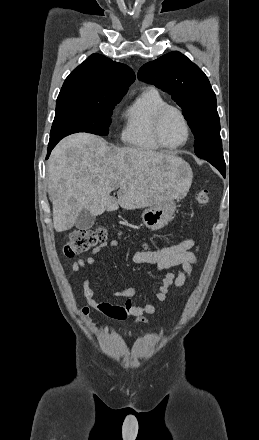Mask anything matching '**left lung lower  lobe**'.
I'll use <instances>...</instances> for the list:
<instances>
[{
  "instance_id": "1",
  "label": "left lung lower lobe",
  "mask_w": 259,
  "mask_h": 440,
  "mask_svg": "<svg viewBox=\"0 0 259 440\" xmlns=\"http://www.w3.org/2000/svg\"><path fill=\"white\" fill-rule=\"evenodd\" d=\"M211 164L214 165L222 173L223 176H225L226 166L224 161L222 163L212 162Z\"/></svg>"
}]
</instances>
